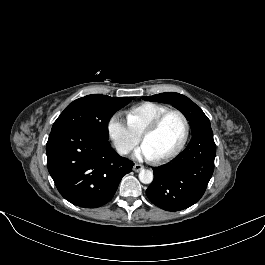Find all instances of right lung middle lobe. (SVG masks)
Instances as JSON below:
<instances>
[{
  "mask_svg": "<svg viewBox=\"0 0 265 265\" xmlns=\"http://www.w3.org/2000/svg\"><path fill=\"white\" fill-rule=\"evenodd\" d=\"M131 100L132 97L113 98L101 94L81 97L64 109L51 131L63 127H79L108 139V120Z\"/></svg>",
  "mask_w": 265,
  "mask_h": 265,
  "instance_id": "right-lung-middle-lobe-1",
  "label": "right lung middle lobe"
}]
</instances>
